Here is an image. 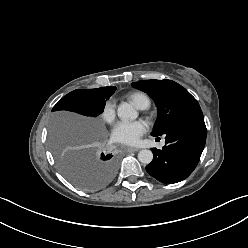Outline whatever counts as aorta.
<instances>
[{
	"label": "aorta",
	"mask_w": 248,
	"mask_h": 248,
	"mask_svg": "<svg viewBox=\"0 0 248 248\" xmlns=\"http://www.w3.org/2000/svg\"><path fill=\"white\" fill-rule=\"evenodd\" d=\"M117 114L123 120H134L138 117V112L128 103L120 104L117 109ZM138 159L143 164H149L153 159V153L148 149L140 150Z\"/></svg>",
	"instance_id": "aorta-1"
}]
</instances>
